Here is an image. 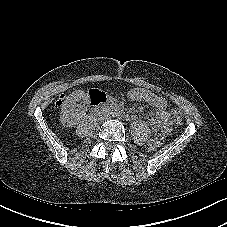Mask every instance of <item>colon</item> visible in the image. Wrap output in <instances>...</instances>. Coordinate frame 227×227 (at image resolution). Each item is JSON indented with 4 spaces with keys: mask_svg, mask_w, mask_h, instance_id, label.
Instances as JSON below:
<instances>
[{
    "mask_svg": "<svg viewBox=\"0 0 227 227\" xmlns=\"http://www.w3.org/2000/svg\"><path fill=\"white\" fill-rule=\"evenodd\" d=\"M90 99L102 97L105 94L97 89H93L90 91ZM60 104V102H59ZM170 118L175 124H180L182 122V113L177 108H172L170 111ZM165 142V135L163 132L156 133L153 138L148 143V148L150 150H156L161 147Z\"/></svg>",
    "mask_w": 227,
    "mask_h": 227,
    "instance_id": "obj_1",
    "label": "colon"
}]
</instances>
